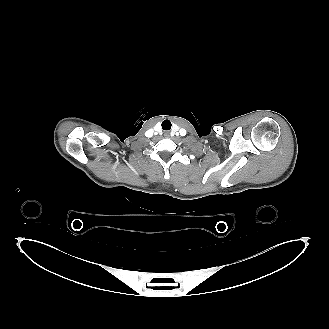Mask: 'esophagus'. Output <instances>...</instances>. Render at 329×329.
Instances as JSON below:
<instances>
[{
  "instance_id": "esophagus-1",
  "label": "esophagus",
  "mask_w": 329,
  "mask_h": 329,
  "mask_svg": "<svg viewBox=\"0 0 329 329\" xmlns=\"http://www.w3.org/2000/svg\"><path fill=\"white\" fill-rule=\"evenodd\" d=\"M169 131H165V133H164V135H165V137H169Z\"/></svg>"
}]
</instances>
